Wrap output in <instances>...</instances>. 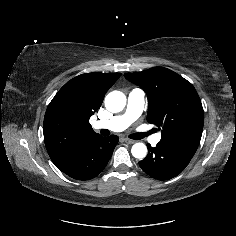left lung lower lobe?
<instances>
[{"instance_id":"obj_1","label":"left lung lower lobe","mask_w":236,"mask_h":236,"mask_svg":"<svg viewBox=\"0 0 236 236\" xmlns=\"http://www.w3.org/2000/svg\"><path fill=\"white\" fill-rule=\"evenodd\" d=\"M198 145L196 141H160L155 148L148 144V155L139 165L154 179H171L186 168Z\"/></svg>"}]
</instances>
